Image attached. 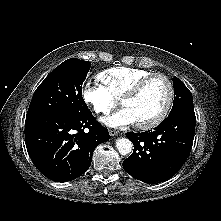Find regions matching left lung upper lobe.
Returning a JSON list of instances; mask_svg holds the SVG:
<instances>
[{
	"instance_id": "1",
	"label": "left lung upper lobe",
	"mask_w": 221,
	"mask_h": 221,
	"mask_svg": "<svg viewBox=\"0 0 221 221\" xmlns=\"http://www.w3.org/2000/svg\"><path fill=\"white\" fill-rule=\"evenodd\" d=\"M173 84L174 101L173 107L168 116L175 114H195L193 107V97L191 92L177 77H174Z\"/></svg>"
}]
</instances>
